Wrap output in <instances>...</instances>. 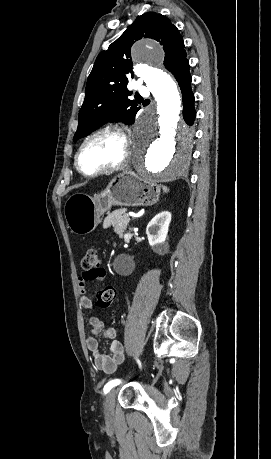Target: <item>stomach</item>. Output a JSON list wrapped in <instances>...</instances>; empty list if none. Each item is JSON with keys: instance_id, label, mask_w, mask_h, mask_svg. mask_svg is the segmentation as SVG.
Segmentation results:
<instances>
[{"instance_id": "obj_1", "label": "stomach", "mask_w": 271, "mask_h": 459, "mask_svg": "<svg viewBox=\"0 0 271 459\" xmlns=\"http://www.w3.org/2000/svg\"><path fill=\"white\" fill-rule=\"evenodd\" d=\"M159 196L160 186L155 180L127 170L115 176L100 194H73L65 204L64 216L72 233L85 235L97 228L101 214L112 206H153Z\"/></svg>"}]
</instances>
